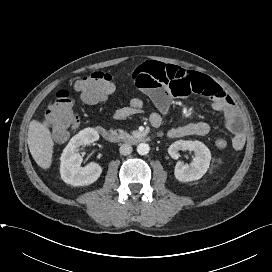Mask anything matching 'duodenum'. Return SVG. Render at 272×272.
Masks as SVG:
<instances>
[{
    "mask_svg": "<svg viewBox=\"0 0 272 272\" xmlns=\"http://www.w3.org/2000/svg\"><path fill=\"white\" fill-rule=\"evenodd\" d=\"M95 130L101 135L102 138L111 143L123 141L130 144H138L142 142H147L150 139L148 136L145 135L121 137L115 132L101 126L96 127Z\"/></svg>",
    "mask_w": 272,
    "mask_h": 272,
    "instance_id": "obj_1",
    "label": "duodenum"
}]
</instances>
